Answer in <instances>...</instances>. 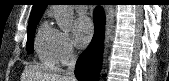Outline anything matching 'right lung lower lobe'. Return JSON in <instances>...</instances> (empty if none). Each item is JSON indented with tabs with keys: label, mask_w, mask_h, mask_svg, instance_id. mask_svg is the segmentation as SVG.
Segmentation results:
<instances>
[{
	"label": "right lung lower lobe",
	"mask_w": 169,
	"mask_h": 81,
	"mask_svg": "<svg viewBox=\"0 0 169 81\" xmlns=\"http://www.w3.org/2000/svg\"><path fill=\"white\" fill-rule=\"evenodd\" d=\"M95 34L87 49L79 56L75 75L79 81H97L102 62L105 17L103 9L94 11Z\"/></svg>",
	"instance_id": "obj_1"
}]
</instances>
